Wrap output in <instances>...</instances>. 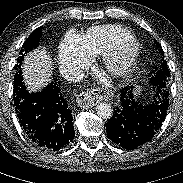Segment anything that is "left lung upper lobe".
<instances>
[{
    "mask_svg": "<svg viewBox=\"0 0 183 183\" xmlns=\"http://www.w3.org/2000/svg\"><path fill=\"white\" fill-rule=\"evenodd\" d=\"M156 45L159 44L156 42ZM163 52V51H162ZM170 77L169 68L166 61L162 58L161 65L158 66L153 72L150 82L157 89H167L168 80Z\"/></svg>",
    "mask_w": 183,
    "mask_h": 183,
    "instance_id": "left-lung-upper-lobe-1",
    "label": "left lung upper lobe"
}]
</instances>
